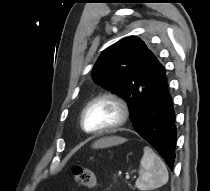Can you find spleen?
Returning a JSON list of instances; mask_svg holds the SVG:
<instances>
[{
	"instance_id": "obj_1",
	"label": "spleen",
	"mask_w": 210,
	"mask_h": 191,
	"mask_svg": "<svg viewBox=\"0 0 210 191\" xmlns=\"http://www.w3.org/2000/svg\"><path fill=\"white\" fill-rule=\"evenodd\" d=\"M140 161L139 178L135 186L142 191L153 190L166 184L169 179L168 170L162 159L148 146L144 149Z\"/></svg>"
}]
</instances>
